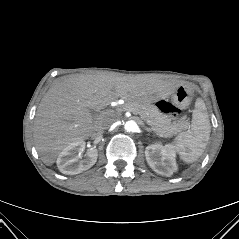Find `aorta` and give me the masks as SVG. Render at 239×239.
Wrapping results in <instances>:
<instances>
[{
  "instance_id": "762f6f07",
  "label": "aorta",
  "mask_w": 239,
  "mask_h": 239,
  "mask_svg": "<svg viewBox=\"0 0 239 239\" xmlns=\"http://www.w3.org/2000/svg\"><path fill=\"white\" fill-rule=\"evenodd\" d=\"M124 129L127 132H136V130L138 129V125L135 121L133 120H129L125 123L124 125Z\"/></svg>"
}]
</instances>
